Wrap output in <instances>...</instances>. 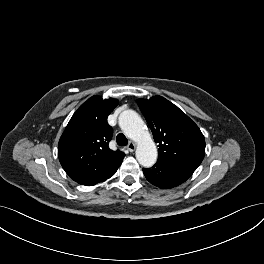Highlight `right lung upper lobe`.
Wrapping results in <instances>:
<instances>
[{"label":"right lung upper lobe","instance_id":"obj_1","mask_svg":"<svg viewBox=\"0 0 264 264\" xmlns=\"http://www.w3.org/2000/svg\"><path fill=\"white\" fill-rule=\"evenodd\" d=\"M117 104L118 101L112 98H89L74 113L60 138L59 161L79 184L95 181L125 157L123 152L113 151L108 146L113 130L107 117Z\"/></svg>","mask_w":264,"mask_h":264}]
</instances>
